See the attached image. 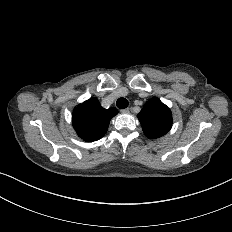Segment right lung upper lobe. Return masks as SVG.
I'll return each mask as SVG.
<instances>
[{
	"mask_svg": "<svg viewBox=\"0 0 232 232\" xmlns=\"http://www.w3.org/2000/svg\"><path fill=\"white\" fill-rule=\"evenodd\" d=\"M117 113L116 108H102L96 98H90L74 109L73 127L84 141H96L105 135L110 119Z\"/></svg>",
	"mask_w": 232,
	"mask_h": 232,
	"instance_id": "right-lung-upper-lobe-1",
	"label": "right lung upper lobe"
}]
</instances>
